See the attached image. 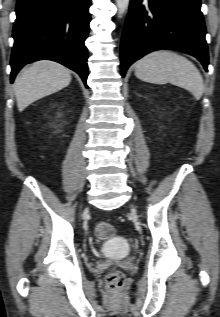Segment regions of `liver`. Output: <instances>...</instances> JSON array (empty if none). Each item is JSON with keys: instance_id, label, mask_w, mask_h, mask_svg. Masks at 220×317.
<instances>
[{"instance_id": "obj_1", "label": "liver", "mask_w": 220, "mask_h": 317, "mask_svg": "<svg viewBox=\"0 0 220 317\" xmlns=\"http://www.w3.org/2000/svg\"><path fill=\"white\" fill-rule=\"evenodd\" d=\"M71 82V72L53 61H38L24 68L16 77L14 92L22 112L31 103L51 95Z\"/></svg>"}]
</instances>
